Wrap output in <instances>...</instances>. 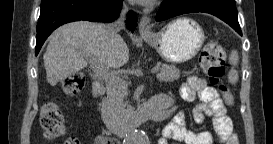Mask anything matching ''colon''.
I'll use <instances>...</instances> for the list:
<instances>
[{"instance_id":"obj_1","label":"colon","mask_w":273,"mask_h":144,"mask_svg":"<svg viewBox=\"0 0 273 144\" xmlns=\"http://www.w3.org/2000/svg\"><path fill=\"white\" fill-rule=\"evenodd\" d=\"M225 60L226 53L223 46L218 40L211 39L201 51L199 65L210 83L217 86L229 102L230 95L222 84ZM84 84L85 77L82 74H75L64 80L63 88L67 94H76L83 89ZM41 124L46 137L49 139H54L63 133V114L55 104L49 103L44 106L41 114Z\"/></svg>"}]
</instances>
